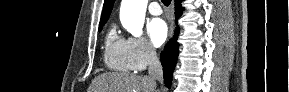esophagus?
Wrapping results in <instances>:
<instances>
[{
  "label": "esophagus",
  "mask_w": 289,
  "mask_h": 92,
  "mask_svg": "<svg viewBox=\"0 0 289 92\" xmlns=\"http://www.w3.org/2000/svg\"><path fill=\"white\" fill-rule=\"evenodd\" d=\"M173 33H174V27L173 25H171L170 30H169V38L173 37Z\"/></svg>",
  "instance_id": "1"
}]
</instances>
